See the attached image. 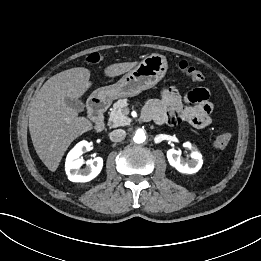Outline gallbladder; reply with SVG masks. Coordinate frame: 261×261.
I'll use <instances>...</instances> for the list:
<instances>
[{"label":"gallbladder","instance_id":"1","mask_svg":"<svg viewBox=\"0 0 261 261\" xmlns=\"http://www.w3.org/2000/svg\"><path fill=\"white\" fill-rule=\"evenodd\" d=\"M65 103L68 107L74 109L77 112H82L84 111V104L79 100V99H74V98H65Z\"/></svg>","mask_w":261,"mask_h":261}]
</instances>
